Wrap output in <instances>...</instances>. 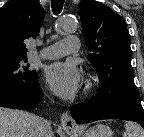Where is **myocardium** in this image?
Masks as SVG:
<instances>
[{
    "instance_id": "myocardium-1",
    "label": "myocardium",
    "mask_w": 144,
    "mask_h": 137,
    "mask_svg": "<svg viewBox=\"0 0 144 137\" xmlns=\"http://www.w3.org/2000/svg\"><path fill=\"white\" fill-rule=\"evenodd\" d=\"M92 88H93V81L91 79H88L85 89H86L87 92H89Z\"/></svg>"
}]
</instances>
